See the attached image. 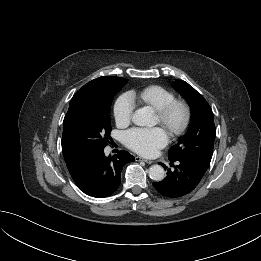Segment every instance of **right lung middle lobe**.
<instances>
[{"instance_id":"dd1d6c3e","label":"right lung middle lobe","mask_w":261,"mask_h":261,"mask_svg":"<svg viewBox=\"0 0 261 261\" xmlns=\"http://www.w3.org/2000/svg\"><path fill=\"white\" fill-rule=\"evenodd\" d=\"M127 83L119 78L106 90L80 95L68 109L63 121L64 159H73L104 149L110 143V108L114 96Z\"/></svg>"}]
</instances>
